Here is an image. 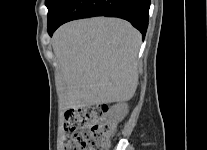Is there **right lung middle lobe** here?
<instances>
[{
	"label": "right lung middle lobe",
	"mask_w": 207,
	"mask_h": 150,
	"mask_svg": "<svg viewBox=\"0 0 207 150\" xmlns=\"http://www.w3.org/2000/svg\"><path fill=\"white\" fill-rule=\"evenodd\" d=\"M66 1L67 0H45V5L48 8V22L55 17Z\"/></svg>",
	"instance_id": "right-lung-middle-lobe-1"
}]
</instances>
